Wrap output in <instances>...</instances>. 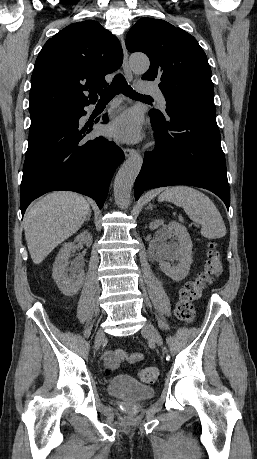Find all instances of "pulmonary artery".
<instances>
[{
    "instance_id": "e3ab8cb5",
    "label": "pulmonary artery",
    "mask_w": 257,
    "mask_h": 459,
    "mask_svg": "<svg viewBox=\"0 0 257 459\" xmlns=\"http://www.w3.org/2000/svg\"><path fill=\"white\" fill-rule=\"evenodd\" d=\"M141 91L146 94H151L155 96L157 99L158 103L160 104L161 107H165L166 105V100L163 94L159 91L157 88H142Z\"/></svg>"
}]
</instances>
